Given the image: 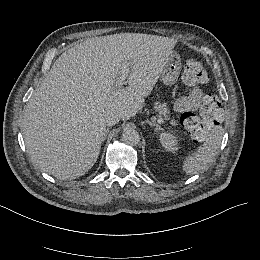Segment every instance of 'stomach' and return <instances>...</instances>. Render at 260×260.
<instances>
[{
    "label": "stomach",
    "instance_id": "1",
    "mask_svg": "<svg viewBox=\"0 0 260 260\" xmlns=\"http://www.w3.org/2000/svg\"><path fill=\"white\" fill-rule=\"evenodd\" d=\"M180 71V68L165 67L160 74L162 82L167 86L174 85L179 78Z\"/></svg>",
    "mask_w": 260,
    "mask_h": 260
}]
</instances>
